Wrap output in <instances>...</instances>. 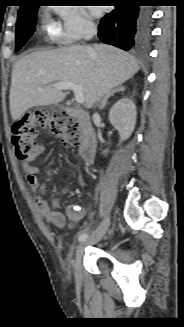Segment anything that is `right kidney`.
I'll list each match as a JSON object with an SVG mask.
<instances>
[{
    "label": "right kidney",
    "mask_w": 184,
    "mask_h": 327,
    "mask_svg": "<svg viewBox=\"0 0 184 327\" xmlns=\"http://www.w3.org/2000/svg\"><path fill=\"white\" fill-rule=\"evenodd\" d=\"M109 120L113 127L118 130L120 141L130 137L136 124V106L129 98L117 101L109 112Z\"/></svg>",
    "instance_id": "obj_1"
}]
</instances>
